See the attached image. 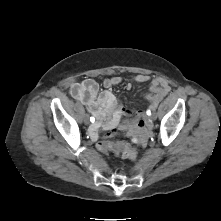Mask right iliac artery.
Masks as SVG:
<instances>
[{"label": "right iliac artery", "mask_w": 221, "mask_h": 221, "mask_svg": "<svg viewBox=\"0 0 221 221\" xmlns=\"http://www.w3.org/2000/svg\"><path fill=\"white\" fill-rule=\"evenodd\" d=\"M90 121H91L92 123H94L95 118H94V117H90Z\"/></svg>", "instance_id": "1"}]
</instances>
